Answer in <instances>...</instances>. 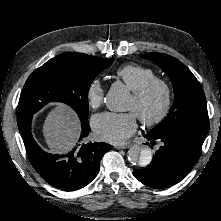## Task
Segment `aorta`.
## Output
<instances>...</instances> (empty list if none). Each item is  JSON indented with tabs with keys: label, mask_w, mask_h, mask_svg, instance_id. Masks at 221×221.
<instances>
[{
	"label": "aorta",
	"mask_w": 221,
	"mask_h": 221,
	"mask_svg": "<svg viewBox=\"0 0 221 221\" xmlns=\"http://www.w3.org/2000/svg\"><path fill=\"white\" fill-rule=\"evenodd\" d=\"M129 99V92L124 85H113L106 95V106L110 111H122ZM152 151L143 145H133L128 150L131 164L146 167L152 160Z\"/></svg>",
	"instance_id": "762f6f07"
}]
</instances>
